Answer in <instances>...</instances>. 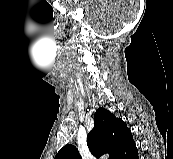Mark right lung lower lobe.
I'll use <instances>...</instances> for the list:
<instances>
[{
  "instance_id": "right-lung-lower-lobe-1",
  "label": "right lung lower lobe",
  "mask_w": 173,
  "mask_h": 159,
  "mask_svg": "<svg viewBox=\"0 0 173 159\" xmlns=\"http://www.w3.org/2000/svg\"><path fill=\"white\" fill-rule=\"evenodd\" d=\"M125 159H139L137 149L127 155Z\"/></svg>"
}]
</instances>
